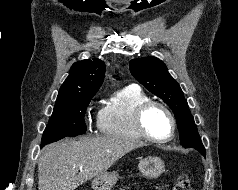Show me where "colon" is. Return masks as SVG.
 Listing matches in <instances>:
<instances>
[{"mask_svg": "<svg viewBox=\"0 0 238 190\" xmlns=\"http://www.w3.org/2000/svg\"><path fill=\"white\" fill-rule=\"evenodd\" d=\"M173 190H191L189 178L186 175H181Z\"/></svg>", "mask_w": 238, "mask_h": 190, "instance_id": "1", "label": "colon"}]
</instances>
